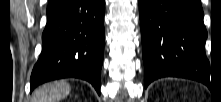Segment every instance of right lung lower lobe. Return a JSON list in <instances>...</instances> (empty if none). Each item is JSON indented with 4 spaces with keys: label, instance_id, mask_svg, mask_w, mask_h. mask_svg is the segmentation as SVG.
Returning <instances> with one entry per match:
<instances>
[{
    "label": "right lung lower lobe",
    "instance_id": "1",
    "mask_svg": "<svg viewBox=\"0 0 221 102\" xmlns=\"http://www.w3.org/2000/svg\"><path fill=\"white\" fill-rule=\"evenodd\" d=\"M104 12L105 0L49 2L42 52L31 74V91L42 83L72 77L90 82L100 94Z\"/></svg>",
    "mask_w": 221,
    "mask_h": 102
}]
</instances>
